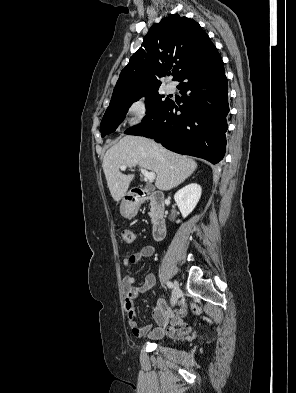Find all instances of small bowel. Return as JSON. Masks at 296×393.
<instances>
[{
    "instance_id": "c3829d8e",
    "label": "small bowel",
    "mask_w": 296,
    "mask_h": 393,
    "mask_svg": "<svg viewBox=\"0 0 296 393\" xmlns=\"http://www.w3.org/2000/svg\"><path fill=\"white\" fill-rule=\"evenodd\" d=\"M154 245H146L136 251L135 253L127 256L123 261L124 270L126 275L123 278L124 286V306L128 314V323L132 333L137 336L147 335L151 339H161L165 335L178 336L190 331L191 326L184 322L187 309L184 304H180L177 309H171L163 298H159L153 309V318L156 326L150 324L140 326L135 321V304L134 299L139 293L150 291L155 283L153 274H148L141 285L136 284L133 276L128 274L130 266L140 262L144 258H149L155 253Z\"/></svg>"
}]
</instances>
